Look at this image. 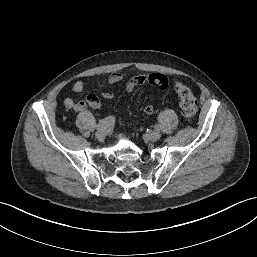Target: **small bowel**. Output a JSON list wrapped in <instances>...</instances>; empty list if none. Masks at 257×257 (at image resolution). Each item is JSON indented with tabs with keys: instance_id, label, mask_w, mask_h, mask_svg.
Segmentation results:
<instances>
[{
	"instance_id": "small-bowel-1",
	"label": "small bowel",
	"mask_w": 257,
	"mask_h": 257,
	"mask_svg": "<svg viewBox=\"0 0 257 257\" xmlns=\"http://www.w3.org/2000/svg\"><path fill=\"white\" fill-rule=\"evenodd\" d=\"M123 80V75L121 73L115 72L109 75L108 82L110 84H118ZM145 83L157 86L161 90H165L168 87V78L161 73H151L148 75H137L129 78L125 83V89L127 93H131L135 87L143 85ZM72 90L75 93H81L84 90V82L81 80L76 81L72 85ZM64 105L67 109H74L77 112L84 111L87 107L93 109H101L102 103L98 96L95 94H88L84 100L79 102H74L71 98H66L64 100ZM154 112V106L148 104L144 107V113L150 115Z\"/></svg>"
}]
</instances>
